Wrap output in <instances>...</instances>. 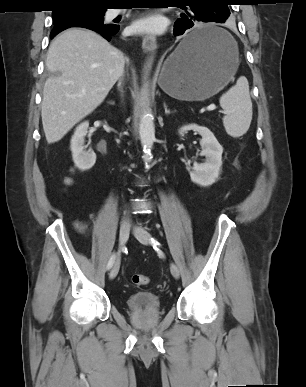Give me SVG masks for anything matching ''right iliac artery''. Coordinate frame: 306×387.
<instances>
[{"label":"right iliac artery","instance_id":"obj_1","mask_svg":"<svg viewBox=\"0 0 306 387\" xmlns=\"http://www.w3.org/2000/svg\"><path fill=\"white\" fill-rule=\"evenodd\" d=\"M116 258V254H113L108 261L107 268L110 269L113 266L114 260Z\"/></svg>","mask_w":306,"mask_h":387}]
</instances>
